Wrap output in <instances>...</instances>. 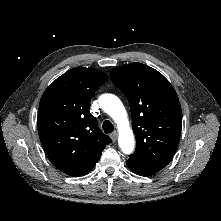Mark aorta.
<instances>
[{"label": "aorta", "instance_id": "obj_1", "mask_svg": "<svg viewBox=\"0 0 221 221\" xmlns=\"http://www.w3.org/2000/svg\"><path fill=\"white\" fill-rule=\"evenodd\" d=\"M99 105L117 124L120 149L125 154H131L135 146L134 134L121 100L113 94H103L99 97Z\"/></svg>", "mask_w": 221, "mask_h": 221}]
</instances>
